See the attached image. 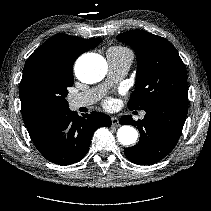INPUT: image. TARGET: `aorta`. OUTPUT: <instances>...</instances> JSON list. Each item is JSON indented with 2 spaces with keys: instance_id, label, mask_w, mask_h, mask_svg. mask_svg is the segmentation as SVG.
I'll use <instances>...</instances> for the list:
<instances>
[{
  "instance_id": "1",
  "label": "aorta",
  "mask_w": 211,
  "mask_h": 211,
  "mask_svg": "<svg viewBox=\"0 0 211 211\" xmlns=\"http://www.w3.org/2000/svg\"><path fill=\"white\" fill-rule=\"evenodd\" d=\"M75 73L79 80L84 83H95L102 80L107 73V63L98 54H85L79 57L75 64ZM138 133L135 128L129 125L121 126L117 131L118 141L128 146L134 144Z\"/></svg>"
}]
</instances>
